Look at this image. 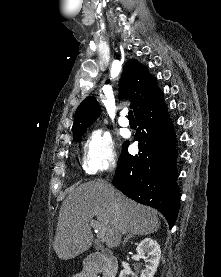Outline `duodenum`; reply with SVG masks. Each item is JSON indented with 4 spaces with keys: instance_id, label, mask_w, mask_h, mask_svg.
<instances>
[{
    "instance_id": "duodenum-1",
    "label": "duodenum",
    "mask_w": 221,
    "mask_h": 277,
    "mask_svg": "<svg viewBox=\"0 0 221 277\" xmlns=\"http://www.w3.org/2000/svg\"><path fill=\"white\" fill-rule=\"evenodd\" d=\"M99 271H104L107 277H116L118 271L117 259L100 253L88 255L84 260L83 275L85 277H94Z\"/></svg>"
}]
</instances>
